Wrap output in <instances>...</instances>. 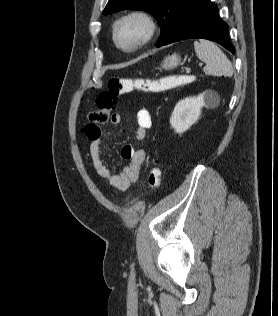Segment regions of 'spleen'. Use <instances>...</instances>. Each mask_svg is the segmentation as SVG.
<instances>
[{"instance_id": "spleen-1", "label": "spleen", "mask_w": 278, "mask_h": 316, "mask_svg": "<svg viewBox=\"0 0 278 316\" xmlns=\"http://www.w3.org/2000/svg\"><path fill=\"white\" fill-rule=\"evenodd\" d=\"M197 57L206 63L204 72L208 75L230 77L233 74L231 61L223 51L211 41L194 42Z\"/></svg>"}]
</instances>
